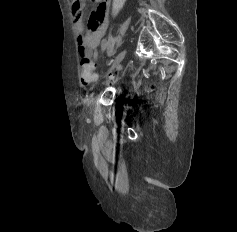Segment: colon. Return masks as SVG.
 <instances>
[{
    "mask_svg": "<svg viewBox=\"0 0 237 232\" xmlns=\"http://www.w3.org/2000/svg\"><path fill=\"white\" fill-rule=\"evenodd\" d=\"M125 0H113L111 16L115 17L123 8ZM97 79V74L94 72V64L89 60L81 61L80 81L82 85H88Z\"/></svg>",
    "mask_w": 237,
    "mask_h": 232,
    "instance_id": "obj_1",
    "label": "colon"
}]
</instances>
